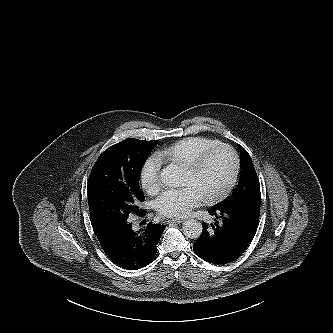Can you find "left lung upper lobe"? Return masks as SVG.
<instances>
[{
    "label": "left lung upper lobe",
    "mask_w": 333,
    "mask_h": 333,
    "mask_svg": "<svg viewBox=\"0 0 333 333\" xmlns=\"http://www.w3.org/2000/svg\"><path fill=\"white\" fill-rule=\"evenodd\" d=\"M241 150V177L235 191L213 208L239 209L260 206L261 192L259 180L248 152Z\"/></svg>",
    "instance_id": "left-lung-upper-lobe-1"
}]
</instances>
